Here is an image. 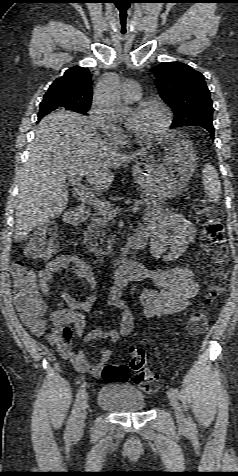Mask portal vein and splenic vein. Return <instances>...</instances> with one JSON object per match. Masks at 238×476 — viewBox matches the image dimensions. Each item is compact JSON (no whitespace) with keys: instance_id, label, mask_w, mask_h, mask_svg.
I'll use <instances>...</instances> for the list:
<instances>
[{"instance_id":"1","label":"portal vein and splenic vein","mask_w":238,"mask_h":476,"mask_svg":"<svg viewBox=\"0 0 238 476\" xmlns=\"http://www.w3.org/2000/svg\"><path fill=\"white\" fill-rule=\"evenodd\" d=\"M69 179L75 185L76 193L82 201L94 207L105 219L110 220L116 216L118 210L114 209L108 202H104L97 198L88 186L81 183L80 176H71ZM141 204V202H136L134 206L126 209V211L131 210L138 212L141 210Z\"/></svg>"}]
</instances>
